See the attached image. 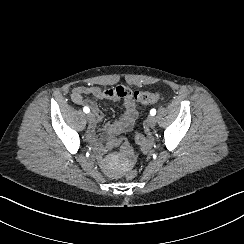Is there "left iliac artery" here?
<instances>
[{"instance_id": "obj_1", "label": "left iliac artery", "mask_w": 244, "mask_h": 244, "mask_svg": "<svg viewBox=\"0 0 244 244\" xmlns=\"http://www.w3.org/2000/svg\"><path fill=\"white\" fill-rule=\"evenodd\" d=\"M150 114H151L152 116H154V115L156 114V110H155V109H151V110H150Z\"/></svg>"}]
</instances>
